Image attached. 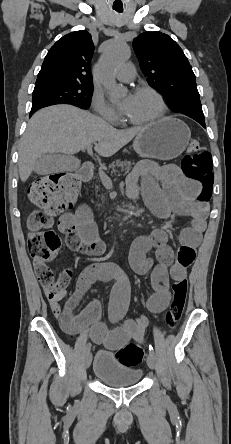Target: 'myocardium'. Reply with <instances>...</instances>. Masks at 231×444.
Listing matches in <instances>:
<instances>
[{"mask_svg":"<svg viewBox=\"0 0 231 444\" xmlns=\"http://www.w3.org/2000/svg\"><path fill=\"white\" fill-rule=\"evenodd\" d=\"M138 93H150L153 96H155L160 104V112L152 118H149L146 120H141V121L132 120V119L128 118L127 116H125L124 119L126 122H128L132 125L142 126V125H149V124L156 123L165 117L167 110H168V106H167L164 96L157 89H155L151 86H140V87L135 88L133 91V94H138Z\"/></svg>","mask_w":231,"mask_h":444,"instance_id":"f54148a6","label":"myocardium"}]
</instances>
